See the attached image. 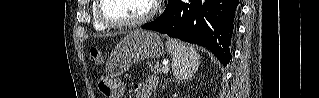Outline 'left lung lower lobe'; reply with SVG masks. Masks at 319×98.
<instances>
[{
	"label": "left lung lower lobe",
	"mask_w": 319,
	"mask_h": 98,
	"mask_svg": "<svg viewBox=\"0 0 319 98\" xmlns=\"http://www.w3.org/2000/svg\"><path fill=\"white\" fill-rule=\"evenodd\" d=\"M238 9L239 0H168L163 14L142 28L204 46L226 66Z\"/></svg>",
	"instance_id": "left-lung-lower-lobe-1"
}]
</instances>
